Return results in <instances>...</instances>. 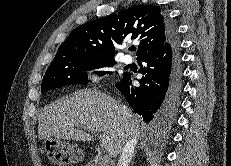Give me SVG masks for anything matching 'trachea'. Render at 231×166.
<instances>
[{
  "label": "trachea",
  "mask_w": 231,
  "mask_h": 166,
  "mask_svg": "<svg viewBox=\"0 0 231 166\" xmlns=\"http://www.w3.org/2000/svg\"><path fill=\"white\" fill-rule=\"evenodd\" d=\"M129 50L136 51V47H130Z\"/></svg>",
  "instance_id": "trachea-1"
}]
</instances>
